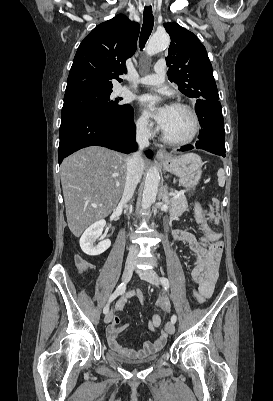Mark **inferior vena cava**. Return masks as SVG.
<instances>
[{
    "label": "inferior vena cava",
    "instance_id": "1",
    "mask_svg": "<svg viewBox=\"0 0 273 401\" xmlns=\"http://www.w3.org/2000/svg\"><path fill=\"white\" fill-rule=\"evenodd\" d=\"M149 134L150 132L147 126H140V128H137L136 130V142H138L139 150L133 152V154L127 158L126 182L120 201L121 205H125V203L130 201L138 182H140L144 168V160L141 156V150H143L145 146H149ZM137 253L138 249H136V247H130L128 259H135Z\"/></svg>",
    "mask_w": 273,
    "mask_h": 401
}]
</instances>
